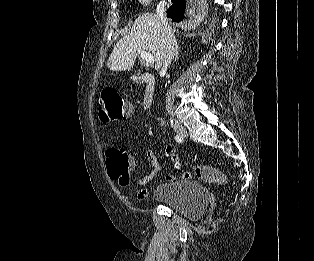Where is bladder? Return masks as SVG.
I'll use <instances>...</instances> for the list:
<instances>
[{
  "label": "bladder",
  "instance_id": "obj_1",
  "mask_svg": "<svg viewBox=\"0 0 314 261\" xmlns=\"http://www.w3.org/2000/svg\"><path fill=\"white\" fill-rule=\"evenodd\" d=\"M152 197L188 217L201 215L208 206L205 186L194 181L180 180L160 184Z\"/></svg>",
  "mask_w": 314,
  "mask_h": 261
}]
</instances>
